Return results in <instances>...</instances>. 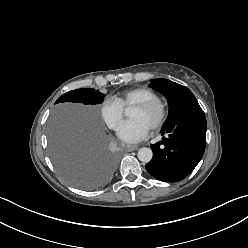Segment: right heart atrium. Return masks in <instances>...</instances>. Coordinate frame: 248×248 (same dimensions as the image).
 I'll return each mask as SVG.
<instances>
[{
    "mask_svg": "<svg viewBox=\"0 0 248 248\" xmlns=\"http://www.w3.org/2000/svg\"><path fill=\"white\" fill-rule=\"evenodd\" d=\"M99 112L103 122L112 130H116L123 118L122 107L113 99L106 98L99 105Z\"/></svg>",
    "mask_w": 248,
    "mask_h": 248,
    "instance_id": "right-heart-atrium-1",
    "label": "right heart atrium"
}]
</instances>
